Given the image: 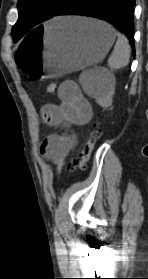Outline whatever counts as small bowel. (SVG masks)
<instances>
[{"label": "small bowel", "instance_id": "small-bowel-1", "mask_svg": "<svg viewBox=\"0 0 148 279\" xmlns=\"http://www.w3.org/2000/svg\"><path fill=\"white\" fill-rule=\"evenodd\" d=\"M60 102L46 104L41 109L43 121L48 126H62V134H50L40 145V153L56 166L60 173L67 156L78 143L76 126L88 123L92 118V107L74 81H64L58 92Z\"/></svg>", "mask_w": 148, "mask_h": 279}]
</instances>
